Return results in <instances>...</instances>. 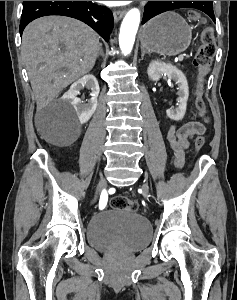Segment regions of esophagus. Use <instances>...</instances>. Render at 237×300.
<instances>
[{"label":"esophagus","mask_w":237,"mask_h":300,"mask_svg":"<svg viewBox=\"0 0 237 300\" xmlns=\"http://www.w3.org/2000/svg\"><path fill=\"white\" fill-rule=\"evenodd\" d=\"M126 10H115L113 12V17L116 22L120 21V19L125 15Z\"/></svg>","instance_id":"obj_1"}]
</instances>
